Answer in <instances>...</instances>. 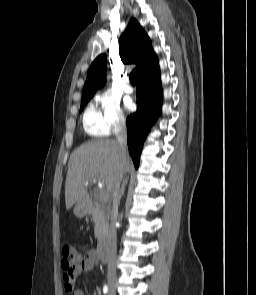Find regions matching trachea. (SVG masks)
I'll list each match as a JSON object with an SVG mask.
<instances>
[{
  "label": "trachea",
  "mask_w": 256,
  "mask_h": 295,
  "mask_svg": "<svg viewBox=\"0 0 256 295\" xmlns=\"http://www.w3.org/2000/svg\"><path fill=\"white\" fill-rule=\"evenodd\" d=\"M129 79H130L131 84L135 85V74L134 73H131L129 75Z\"/></svg>",
  "instance_id": "1"
}]
</instances>
